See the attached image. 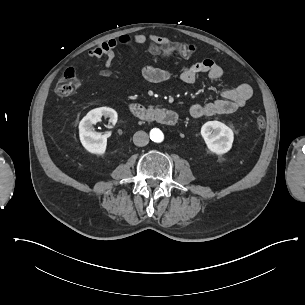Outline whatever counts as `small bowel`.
Masks as SVG:
<instances>
[{"instance_id":"1","label":"small bowel","mask_w":305,"mask_h":305,"mask_svg":"<svg viewBox=\"0 0 305 305\" xmlns=\"http://www.w3.org/2000/svg\"><path fill=\"white\" fill-rule=\"evenodd\" d=\"M115 45V39L109 37L105 42L98 44L92 49V52L97 57H102L105 55V63L103 64L105 69L110 67L109 62L111 61V58H113L116 54V51L112 49ZM175 51L176 50L174 49L173 52L168 56L172 55ZM85 56L90 58L92 53L87 51ZM203 73H206L209 79L212 81H217L223 76L224 70L213 59L205 58L183 68L180 73V79L186 84H192L196 81L197 77ZM142 76L145 80L153 84L165 83L172 77L168 70L153 65L144 66L142 69ZM252 95V87L248 83H240L234 88L223 91L222 99L204 104H193L189 109V113L193 118L230 113L242 108L252 97Z\"/></svg>"}]
</instances>
